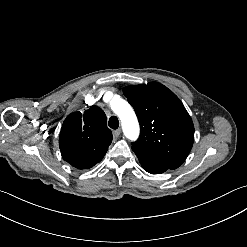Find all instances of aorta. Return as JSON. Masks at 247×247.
I'll return each instance as SVG.
<instances>
[{"label": "aorta", "instance_id": "obj_1", "mask_svg": "<svg viewBox=\"0 0 247 247\" xmlns=\"http://www.w3.org/2000/svg\"><path fill=\"white\" fill-rule=\"evenodd\" d=\"M110 105L121 120L124 135L135 141L139 136V123L130 104L114 96Z\"/></svg>", "mask_w": 247, "mask_h": 247}]
</instances>
